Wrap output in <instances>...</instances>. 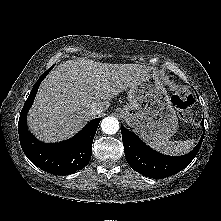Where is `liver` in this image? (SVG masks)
I'll return each mask as SVG.
<instances>
[{
  "label": "liver",
  "instance_id": "liver-1",
  "mask_svg": "<svg viewBox=\"0 0 221 221\" xmlns=\"http://www.w3.org/2000/svg\"><path fill=\"white\" fill-rule=\"evenodd\" d=\"M149 70L138 64L64 61L42 81L28 112V127L47 143L68 139L91 120L92 106L107 110L112 98L145 78Z\"/></svg>",
  "mask_w": 221,
  "mask_h": 221
}]
</instances>
